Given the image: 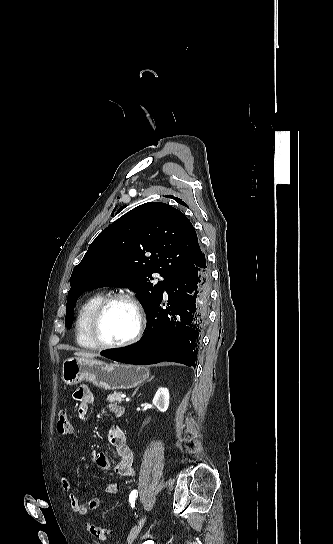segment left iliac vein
<instances>
[{
    "label": "left iliac vein",
    "instance_id": "1",
    "mask_svg": "<svg viewBox=\"0 0 333 544\" xmlns=\"http://www.w3.org/2000/svg\"><path fill=\"white\" fill-rule=\"evenodd\" d=\"M145 519H146V516L141 517L139 521L137 522V525L131 530L127 539L128 544H132L134 540L137 538L140 530L142 529L144 525Z\"/></svg>",
    "mask_w": 333,
    "mask_h": 544
}]
</instances>
